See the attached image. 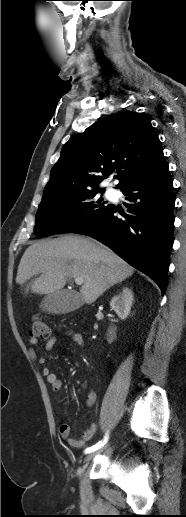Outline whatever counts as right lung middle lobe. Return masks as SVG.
Listing matches in <instances>:
<instances>
[{
	"mask_svg": "<svg viewBox=\"0 0 186 517\" xmlns=\"http://www.w3.org/2000/svg\"><path fill=\"white\" fill-rule=\"evenodd\" d=\"M100 191L75 192L41 202L36 213L35 235L69 233L88 225L112 207L97 197Z\"/></svg>",
	"mask_w": 186,
	"mask_h": 517,
	"instance_id": "obj_1",
	"label": "right lung middle lobe"
}]
</instances>
